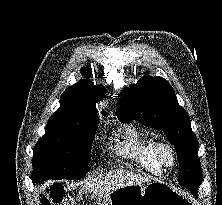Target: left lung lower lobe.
I'll list each match as a JSON object with an SVG mask.
<instances>
[{
    "mask_svg": "<svg viewBox=\"0 0 222 205\" xmlns=\"http://www.w3.org/2000/svg\"><path fill=\"white\" fill-rule=\"evenodd\" d=\"M187 188L189 189V191L194 195L197 196V189H195L193 186L188 185Z\"/></svg>",
    "mask_w": 222,
    "mask_h": 205,
    "instance_id": "left-lung-lower-lobe-1",
    "label": "left lung lower lobe"
}]
</instances>
